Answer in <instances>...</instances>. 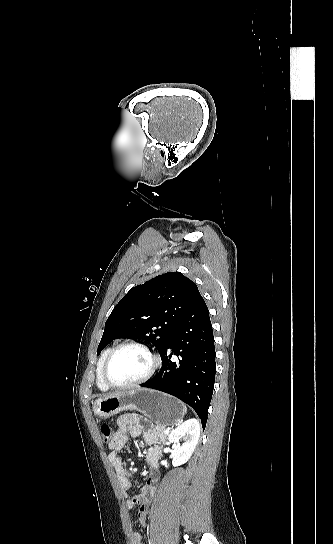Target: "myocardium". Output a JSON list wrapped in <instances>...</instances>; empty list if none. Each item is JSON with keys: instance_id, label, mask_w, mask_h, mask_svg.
Returning <instances> with one entry per match:
<instances>
[{"instance_id": "1", "label": "myocardium", "mask_w": 333, "mask_h": 544, "mask_svg": "<svg viewBox=\"0 0 333 544\" xmlns=\"http://www.w3.org/2000/svg\"><path fill=\"white\" fill-rule=\"evenodd\" d=\"M129 347L137 348V349H139V350H141V351H143V352H145L147 354V356L150 359L149 369L147 370V372L142 377H140V378H138V379H136L134 381H131V382H128V383H123V384L114 383L108 377L109 365H110L113 357L120 350H122L124 348H129ZM160 364H161V361H160L159 356L148 345H146L144 343H141V342H137V341H126V342L120 343L117 346H115L114 348H112V350L107 355V357H106V359H105V361L103 363V366H102V379H103L104 383L108 387L116 388V389H124V388H130V387L138 386V385H141V384L147 382L149 379H151L152 376L156 373V371L160 367Z\"/></svg>"}]
</instances>
